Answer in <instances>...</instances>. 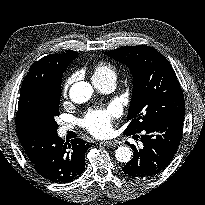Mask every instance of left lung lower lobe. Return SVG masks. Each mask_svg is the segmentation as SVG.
Segmentation results:
<instances>
[{
    "label": "left lung lower lobe",
    "instance_id": "1",
    "mask_svg": "<svg viewBox=\"0 0 205 205\" xmlns=\"http://www.w3.org/2000/svg\"><path fill=\"white\" fill-rule=\"evenodd\" d=\"M184 113L162 118L142 131V149L134 150L133 159L122 169L133 178L148 179L164 170L174 158L182 137Z\"/></svg>",
    "mask_w": 205,
    "mask_h": 205
}]
</instances>
